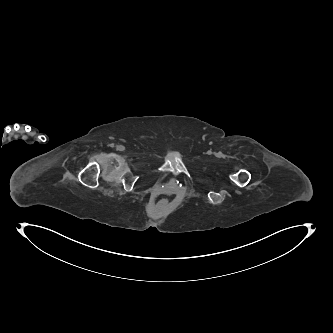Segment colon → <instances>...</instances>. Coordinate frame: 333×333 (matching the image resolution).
<instances>
[{
	"mask_svg": "<svg viewBox=\"0 0 333 333\" xmlns=\"http://www.w3.org/2000/svg\"><path fill=\"white\" fill-rule=\"evenodd\" d=\"M167 204V201L166 200H161L160 202H159V205H161V206H164V205H166Z\"/></svg>",
	"mask_w": 333,
	"mask_h": 333,
	"instance_id": "colon-1",
	"label": "colon"
}]
</instances>
